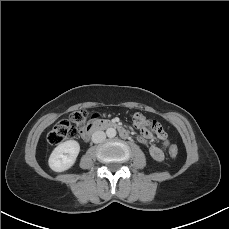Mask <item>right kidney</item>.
<instances>
[{"label":"right kidney","mask_w":229,"mask_h":229,"mask_svg":"<svg viewBox=\"0 0 229 229\" xmlns=\"http://www.w3.org/2000/svg\"><path fill=\"white\" fill-rule=\"evenodd\" d=\"M80 152V145L75 140L60 143L51 153L48 163L55 172H63L71 168Z\"/></svg>","instance_id":"right-kidney-1"}]
</instances>
